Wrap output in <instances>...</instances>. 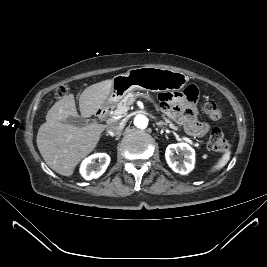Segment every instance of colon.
<instances>
[{
	"label": "colon",
	"mask_w": 267,
	"mask_h": 267,
	"mask_svg": "<svg viewBox=\"0 0 267 267\" xmlns=\"http://www.w3.org/2000/svg\"><path fill=\"white\" fill-rule=\"evenodd\" d=\"M66 92V88L60 87L56 94L58 97H63ZM203 111L213 121L220 120L223 115L222 107L213 101L206 102L203 105ZM207 146L210 151L223 153L228 150L230 144L229 141L224 137L222 131L218 128H215L210 133Z\"/></svg>",
	"instance_id": "obj_1"
}]
</instances>
